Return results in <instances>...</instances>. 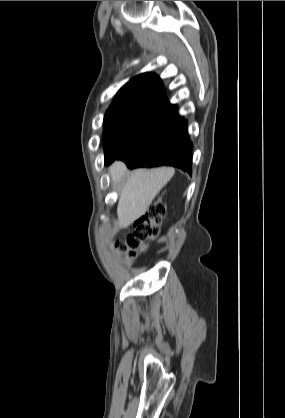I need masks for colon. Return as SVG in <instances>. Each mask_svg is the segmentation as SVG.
<instances>
[{
    "instance_id": "1",
    "label": "colon",
    "mask_w": 285,
    "mask_h": 418,
    "mask_svg": "<svg viewBox=\"0 0 285 418\" xmlns=\"http://www.w3.org/2000/svg\"><path fill=\"white\" fill-rule=\"evenodd\" d=\"M166 214V205L163 202H155L149 211L142 215L134 224V230L129 233L123 242L117 245L129 252L130 256H136L147 250V242L158 236L156 225Z\"/></svg>"
}]
</instances>
